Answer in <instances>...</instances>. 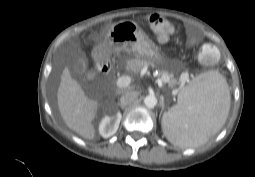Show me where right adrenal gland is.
<instances>
[{"label":"right adrenal gland","instance_id":"2a0ac1e0","mask_svg":"<svg viewBox=\"0 0 255 177\" xmlns=\"http://www.w3.org/2000/svg\"><path fill=\"white\" fill-rule=\"evenodd\" d=\"M118 106H120V104H118ZM121 109H124V107H121Z\"/></svg>","mask_w":255,"mask_h":177}]
</instances>
